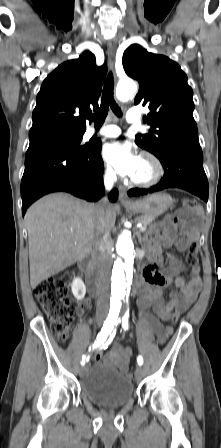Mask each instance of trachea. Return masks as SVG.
<instances>
[{
	"mask_svg": "<svg viewBox=\"0 0 221 448\" xmlns=\"http://www.w3.org/2000/svg\"><path fill=\"white\" fill-rule=\"evenodd\" d=\"M109 107L117 117H122V111L114 100V79L112 72L108 74L105 81L100 108L98 112L95 115L90 116L89 119L94 121L96 126H101L108 114Z\"/></svg>",
	"mask_w": 221,
	"mask_h": 448,
	"instance_id": "trachea-1",
	"label": "trachea"
}]
</instances>
